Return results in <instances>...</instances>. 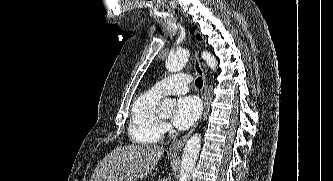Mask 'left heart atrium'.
<instances>
[{
	"label": "left heart atrium",
	"mask_w": 333,
	"mask_h": 181,
	"mask_svg": "<svg viewBox=\"0 0 333 181\" xmlns=\"http://www.w3.org/2000/svg\"><path fill=\"white\" fill-rule=\"evenodd\" d=\"M201 112V106L197 98L193 96L181 97L177 100L172 122L180 130H185L193 125Z\"/></svg>",
	"instance_id": "left-heart-atrium-1"
}]
</instances>
